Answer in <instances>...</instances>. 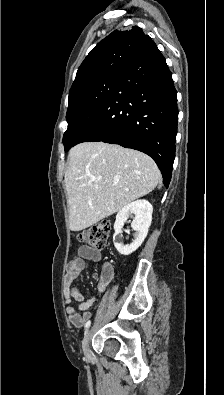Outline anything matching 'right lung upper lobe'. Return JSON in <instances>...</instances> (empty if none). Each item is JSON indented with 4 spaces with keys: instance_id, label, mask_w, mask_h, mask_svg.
<instances>
[{
    "instance_id": "1",
    "label": "right lung upper lobe",
    "mask_w": 224,
    "mask_h": 395,
    "mask_svg": "<svg viewBox=\"0 0 224 395\" xmlns=\"http://www.w3.org/2000/svg\"><path fill=\"white\" fill-rule=\"evenodd\" d=\"M145 35L138 26L113 31L100 41L80 65L70 93L108 75L122 74L138 53Z\"/></svg>"
}]
</instances>
